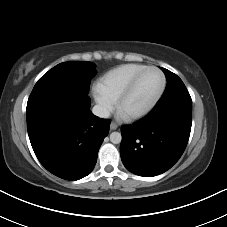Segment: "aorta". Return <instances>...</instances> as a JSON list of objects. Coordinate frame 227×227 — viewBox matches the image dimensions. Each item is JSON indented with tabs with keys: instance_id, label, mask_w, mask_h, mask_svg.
<instances>
[{
	"instance_id": "762f6f07",
	"label": "aorta",
	"mask_w": 227,
	"mask_h": 227,
	"mask_svg": "<svg viewBox=\"0 0 227 227\" xmlns=\"http://www.w3.org/2000/svg\"><path fill=\"white\" fill-rule=\"evenodd\" d=\"M122 140V136H121V133L119 132H112L110 134V141L113 143V144H119Z\"/></svg>"
}]
</instances>
